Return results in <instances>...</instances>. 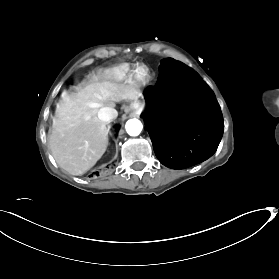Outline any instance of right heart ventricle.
Instances as JSON below:
<instances>
[{"instance_id": "right-heart-ventricle-1", "label": "right heart ventricle", "mask_w": 279, "mask_h": 279, "mask_svg": "<svg viewBox=\"0 0 279 279\" xmlns=\"http://www.w3.org/2000/svg\"><path fill=\"white\" fill-rule=\"evenodd\" d=\"M121 68L124 70V71H127L129 69V66L127 64H124L121 66Z\"/></svg>"}]
</instances>
